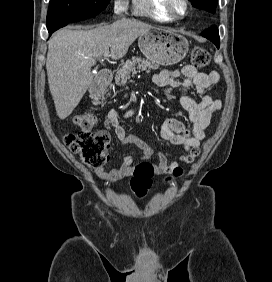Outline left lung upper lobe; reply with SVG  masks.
I'll return each instance as SVG.
<instances>
[{"instance_id":"1","label":"left lung upper lobe","mask_w":272,"mask_h":282,"mask_svg":"<svg viewBox=\"0 0 272 282\" xmlns=\"http://www.w3.org/2000/svg\"><path fill=\"white\" fill-rule=\"evenodd\" d=\"M192 5L196 8L215 13L217 0H190Z\"/></svg>"}]
</instances>
